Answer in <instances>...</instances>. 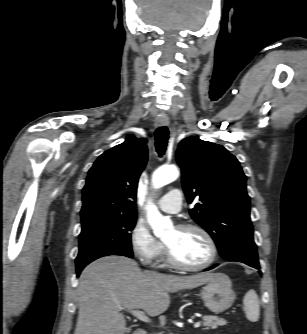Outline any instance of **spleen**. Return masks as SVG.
Returning a JSON list of instances; mask_svg holds the SVG:
<instances>
[{
    "label": "spleen",
    "instance_id": "obj_1",
    "mask_svg": "<svg viewBox=\"0 0 307 334\" xmlns=\"http://www.w3.org/2000/svg\"><path fill=\"white\" fill-rule=\"evenodd\" d=\"M243 304L247 319L251 322L258 321L260 315V305L258 296L253 289L249 290L245 294Z\"/></svg>",
    "mask_w": 307,
    "mask_h": 334
}]
</instances>
